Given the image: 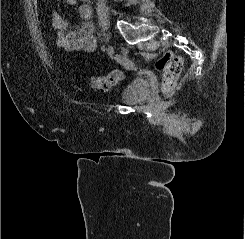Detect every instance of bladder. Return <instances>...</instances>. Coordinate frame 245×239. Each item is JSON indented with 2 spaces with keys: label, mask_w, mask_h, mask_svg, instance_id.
Here are the masks:
<instances>
[{
  "label": "bladder",
  "mask_w": 245,
  "mask_h": 239,
  "mask_svg": "<svg viewBox=\"0 0 245 239\" xmlns=\"http://www.w3.org/2000/svg\"><path fill=\"white\" fill-rule=\"evenodd\" d=\"M150 84L132 81L122 88L120 101L122 103L136 105L142 103L149 95Z\"/></svg>",
  "instance_id": "bladder-1"
}]
</instances>
